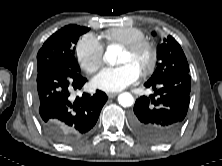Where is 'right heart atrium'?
<instances>
[{
	"mask_svg": "<svg viewBox=\"0 0 222 166\" xmlns=\"http://www.w3.org/2000/svg\"><path fill=\"white\" fill-rule=\"evenodd\" d=\"M104 48L101 41L93 34L83 35L75 47V58L85 72H96L103 63Z\"/></svg>",
	"mask_w": 222,
	"mask_h": 166,
	"instance_id": "right-heart-atrium-1",
	"label": "right heart atrium"
}]
</instances>
